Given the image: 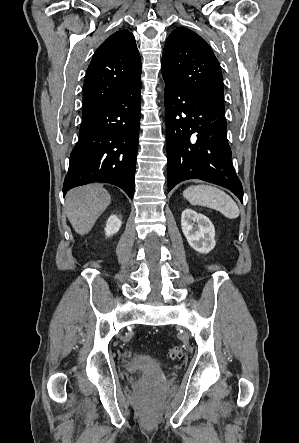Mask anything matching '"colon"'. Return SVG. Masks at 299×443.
Instances as JSON below:
<instances>
[{
    "label": "colon",
    "mask_w": 299,
    "mask_h": 443,
    "mask_svg": "<svg viewBox=\"0 0 299 443\" xmlns=\"http://www.w3.org/2000/svg\"><path fill=\"white\" fill-rule=\"evenodd\" d=\"M167 356L172 360L179 359L183 356V349L180 346H174L169 349Z\"/></svg>",
    "instance_id": "obj_1"
}]
</instances>
